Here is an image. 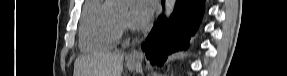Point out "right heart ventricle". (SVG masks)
Wrapping results in <instances>:
<instances>
[{
    "mask_svg": "<svg viewBox=\"0 0 287 76\" xmlns=\"http://www.w3.org/2000/svg\"><path fill=\"white\" fill-rule=\"evenodd\" d=\"M108 0H88L82 10L80 47L83 51H104L116 46L120 39Z\"/></svg>",
    "mask_w": 287,
    "mask_h": 76,
    "instance_id": "obj_1",
    "label": "right heart ventricle"
}]
</instances>
